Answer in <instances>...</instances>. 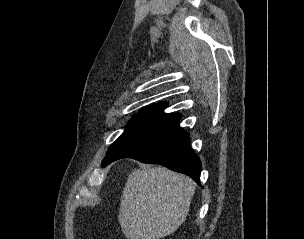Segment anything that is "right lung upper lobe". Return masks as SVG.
Here are the masks:
<instances>
[{"label": "right lung upper lobe", "mask_w": 304, "mask_h": 239, "mask_svg": "<svg viewBox=\"0 0 304 239\" xmlns=\"http://www.w3.org/2000/svg\"><path fill=\"white\" fill-rule=\"evenodd\" d=\"M166 107H167V103L162 102L157 105H152V106L146 107V108L140 110L139 113L150 115V116H155V117H159V118H164L168 121H177L180 119L179 115L164 113L163 110Z\"/></svg>", "instance_id": "1"}]
</instances>
